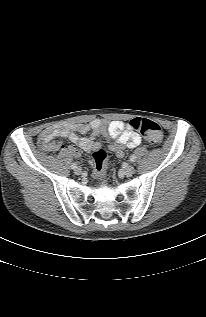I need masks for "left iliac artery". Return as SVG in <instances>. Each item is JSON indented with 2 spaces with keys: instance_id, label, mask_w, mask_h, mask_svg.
Returning a JSON list of instances; mask_svg holds the SVG:
<instances>
[{
  "instance_id": "1",
  "label": "left iliac artery",
  "mask_w": 206,
  "mask_h": 317,
  "mask_svg": "<svg viewBox=\"0 0 206 317\" xmlns=\"http://www.w3.org/2000/svg\"><path fill=\"white\" fill-rule=\"evenodd\" d=\"M130 161L131 162H135L136 161V156L135 155H131L130 156Z\"/></svg>"
}]
</instances>
